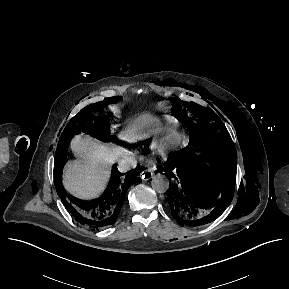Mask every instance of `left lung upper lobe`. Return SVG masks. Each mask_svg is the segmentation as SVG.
Here are the masks:
<instances>
[{
    "label": "left lung upper lobe",
    "mask_w": 289,
    "mask_h": 289,
    "mask_svg": "<svg viewBox=\"0 0 289 289\" xmlns=\"http://www.w3.org/2000/svg\"><path fill=\"white\" fill-rule=\"evenodd\" d=\"M172 103L178 120L188 129L192 144L204 143L210 146L221 168L236 163L237 153L232 139L213 110L183 102L179 98L172 100Z\"/></svg>",
    "instance_id": "1"
}]
</instances>
